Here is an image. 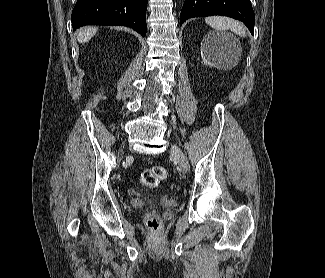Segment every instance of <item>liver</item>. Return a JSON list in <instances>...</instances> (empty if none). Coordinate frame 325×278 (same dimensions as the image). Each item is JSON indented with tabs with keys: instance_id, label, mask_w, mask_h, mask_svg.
<instances>
[{
	"instance_id": "6515ba94",
	"label": "liver",
	"mask_w": 325,
	"mask_h": 278,
	"mask_svg": "<svg viewBox=\"0 0 325 278\" xmlns=\"http://www.w3.org/2000/svg\"><path fill=\"white\" fill-rule=\"evenodd\" d=\"M96 27H84L80 29L77 33V39L80 43H85L89 41L97 32Z\"/></svg>"
}]
</instances>
